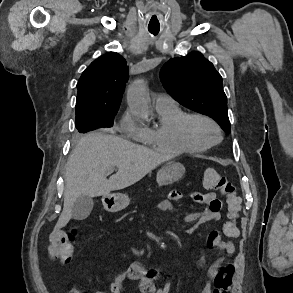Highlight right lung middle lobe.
I'll use <instances>...</instances> for the list:
<instances>
[{
  "instance_id": "dd1d6c3e",
  "label": "right lung middle lobe",
  "mask_w": 293,
  "mask_h": 293,
  "mask_svg": "<svg viewBox=\"0 0 293 293\" xmlns=\"http://www.w3.org/2000/svg\"><path fill=\"white\" fill-rule=\"evenodd\" d=\"M116 112L109 114L79 113L76 111V128L80 133L98 129L100 127H112Z\"/></svg>"
}]
</instances>
